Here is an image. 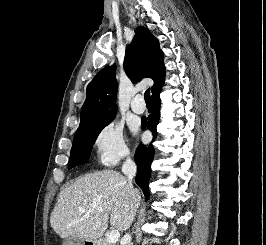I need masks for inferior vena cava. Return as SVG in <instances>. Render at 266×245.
Returning <instances> with one entry per match:
<instances>
[{"mask_svg":"<svg viewBox=\"0 0 266 245\" xmlns=\"http://www.w3.org/2000/svg\"><path fill=\"white\" fill-rule=\"evenodd\" d=\"M122 173H124L125 177H126V181L128 183V187H129V195H131L132 199H134L136 193L134 191V187L132 185V179L133 177H135L136 173H137V167L134 163V161H132V159H130V157H126L123 165H122ZM131 235H125L124 239H123V243L124 245H131Z\"/></svg>","mask_w":266,"mask_h":245,"instance_id":"obj_1","label":"inferior vena cava"}]
</instances>
